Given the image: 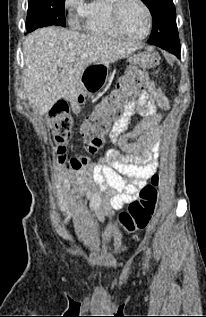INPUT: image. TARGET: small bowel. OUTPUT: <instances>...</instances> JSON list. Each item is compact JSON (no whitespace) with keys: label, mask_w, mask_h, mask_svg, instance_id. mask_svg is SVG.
<instances>
[{"label":"small bowel","mask_w":206,"mask_h":317,"mask_svg":"<svg viewBox=\"0 0 206 317\" xmlns=\"http://www.w3.org/2000/svg\"><path fill=\"white\" fill-rule=\"evenodd\" d=\"M157 107L165 111L170 108L162 90L153 81H148L137 99L127 105L110 133L111 142L125 154L110 149L97 163L85 166L73 177L77 192L88 199L94 216L100 222L111 210H119L135 201L159 166L163 116L157 112ZM135 112L142 116V120L128 131L130 118Z\"/></svg>","instance_id":"c3829d8e"}]
</instances>
